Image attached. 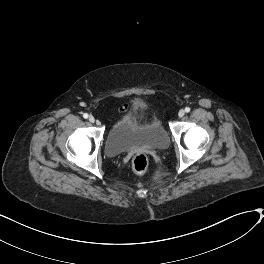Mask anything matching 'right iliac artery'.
<instances>
[{"label":"right iliac artery","instance_id":"82829eb1","mask_svg":"<svg viewBox=\"0 0 264 264\" xmlns=\"http://www.w3.org/2000/svg\"><path fill=\"white\" fill-rule=\"evenodd\" d=\"M83 117H84L85 119H87V118H88V114H87V113H84V114H83Z\"/></svg>","mask_w":264,"mask_h":264}]
</instances>
